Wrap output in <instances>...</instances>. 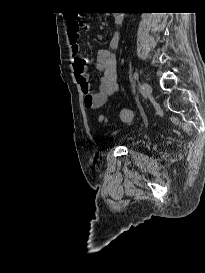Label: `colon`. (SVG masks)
<instances>
[{
	"mask_svg": "<svg viewBox=\"0 0 205 273\" xmlns=\"http://www.w3.org/2000/svg\"><path fill=\"white\" fill-rule=\"evenodd\" d=\"M82 25H83V23L80 21V22H78V24H75V27L76 28H81ZM120 117H121L122 121H124V122H130L132 120L133 113H132V111L130 109L124 108L120 112ZM100 120L101 121H105V118L104 117H100Z\"/></svg>",
	"mask_w": 205,
	"mask_h": 273,
	"instance_id": "5ec220e1",
	"label": "colon"
}]
</instances>
